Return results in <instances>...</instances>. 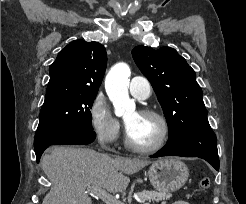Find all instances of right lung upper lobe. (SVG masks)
Segmentation results:
<instances>
[{
  "mask_svg": "<svg viewBox=\"0 0 246 204\" xmlns=\"http://www.w3.org/2000/svg\"><path fill=\"white\" fill-rule=\"evenodd\" d=\"M107 62L103 45L76 40L61 50L50 65L45 101L70 94H96Z\"/></svg>",
  "mask_w": 246,
  "mask_h": 204,
  "instance_id": "obj_1",
  "label": "right lung upper lobe"
}]
</instances>
